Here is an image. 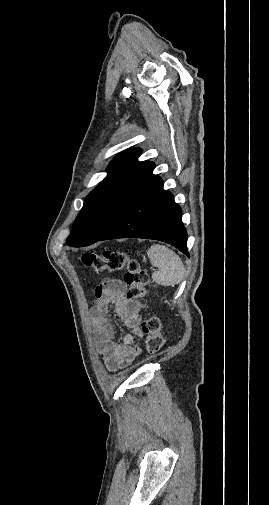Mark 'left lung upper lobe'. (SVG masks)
I'll return each instance as SVG.
<instances>
[{
  "label": "left lung upper lobe",
  "mask_w": 269,
  "mask_h": 505,
  "mask_svg": "<svg viewBox=\"0 0 269 505\" xmlns=\"http://www.w3.org/2000/svg\"><path fill=\"white\" fill-rule=\"evenodd\" d=\"M140 154V149H131L113 159L107 177L86 197L66 240L67 245H91L111 228L149 164L137 161Z\"/></svg>",
  "instance_id": "5c2ea615"
}]
</instances>
